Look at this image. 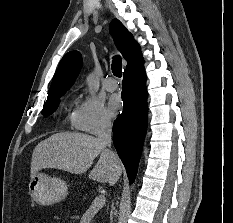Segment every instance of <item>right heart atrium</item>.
Segmentation results:
<instances>
[{
    "label": "right heart atrium",
    "instance_id": "right-heart-atrium-1",
    "mask_svg": "<svg viewBox=\"0 0 233 223\" xmlns=\"http://www.w3.org/2000/svg\"><path fill=\"white\" fill-rule=\"evenodd\" d=\"M74 126L78 130L98 134L110 130L112 121L100 101L87 97L76 108Z\"/></svg>",
    "mask_w": 233,
    "mask_h": 223
}]
</instances>
